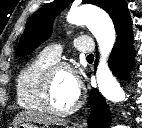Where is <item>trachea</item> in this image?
I'll use <instances>...</instances> for the list:
<instances>
[{"mask_svg": "<svg viewBox=\"0 0 142 128\" xmlns=\"http://www.w3.org/2000/svg\"><path fill=\"white\" fill-rule=\"evenodd\" d=\"M87 58H88V59H93L94 56H93L92 54H90V55L87 56Z\"/></svg>", "mask_w": 142, "mask_h": 128, "instance_id": "trachea-1", "label": "trachea"}]
</instances>
